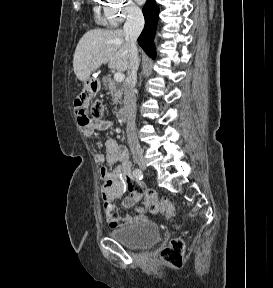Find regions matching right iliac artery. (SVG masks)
Segmentation results:
<instances>
[{
  "instance_id": "obj_1",
  "label": "right iliac artery",
  "mask_w": 273,
  "mask_h": 288,
  "mask_svg": "<svg viewBox=\"0 0 273 288\" xmlns=\"http://www.w3.org/2000/svg\"><path fill=\"white\" fill-rule=\"evenodd\" d=\"M133 175L136 179L141 180L143 178V173L140 169H135Z\"/></svg>"
}]
</instances>
